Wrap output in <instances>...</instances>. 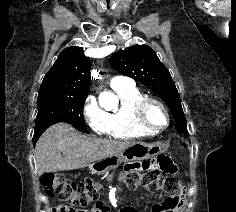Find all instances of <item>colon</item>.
<instances>
[{
	"instance_id": "1",
	"label": "colon",
	"mask_w": 236,
	"mask_h": 212,
	"mask_svg": "<svg viewBox=\"0 0 236 212\" xmlns=\"http://www.w3.org/2000/svg\"><path fill=\"white\" fill-rule=\"evenodd\" d=\"M175 167L167 157L143 163L127 164L121 174L122 182L128 185L143 186L149 191H161L178 198L181 195L179 183L169 175ZM45 193L53 196L55 193L64 204L55 212H83L99 197L101 186L92 179L74 181L61 174L47 173L42 178ZM98 205V204H96Z\"/></svg>"
}]
</instances>
